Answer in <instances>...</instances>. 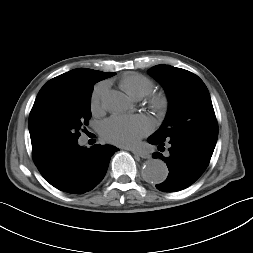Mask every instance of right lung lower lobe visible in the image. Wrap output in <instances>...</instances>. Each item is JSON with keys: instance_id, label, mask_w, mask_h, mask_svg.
<instances>
[{"instance_id": "obj_1", "label": "right lung lower lobe", "mask_w": 253, "mask_h": 253, "mask_svg": "<svg viewBox=\"0 0 253 253\" xmlns=\"http://www.w3.org/2000/svg\"><path fill=\"white\" fill-rule=\"evenodd\" d=\"M117 150L114 146L100 144L86 148L76 142L55 153L38 170L55 188L67 193L82 194L102 181L110 158Z\"/></svg>"}]
</instances>
